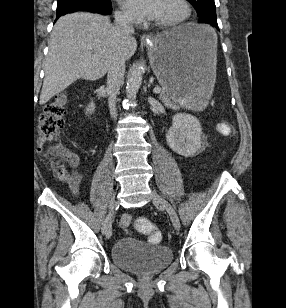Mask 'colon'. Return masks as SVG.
<instances>
[{
  "mask_svg": "<svg viewBox=\"0 0 286 308\" xmlns=\"http://www.w3.org/2000/svg\"><path fill=\"white\" fill-rule=\"evenodd\" d=\"M67 102L68 97L66 94H57L45 106L38 123V144L40 150L52 157L54 171L63 180L69 177V173L61 162L62 152L56 141L64 124L63 117L66 114ZM136 227L141 233L149 235L148 241L150 243L157 244L161 241V233L154 229L149 220L140 217Z\"/></svg>",
  "mask_w": 286,
  "mask_h": 308,
  "instance_id": "5ec220e1",
  "label": "colon"
}]
</instances>
